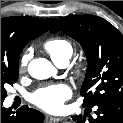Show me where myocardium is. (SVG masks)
Masks as SVG:
<instances>
[{"mask_svg": "<svg viewBox=\"0 0 123 123\" xmlns=\"http://www.w3.org/2000/svg\"><path fill=\"white\" fill-rule=\"evenodd\" d=\"M74 73L77 77H83L85 74V64L78 63L75 67Z\"/></svg>", "mask_w": 123, "mask_h": 123, "instance_id": "obj_1", "label": "myocardium"}]
</instances>
